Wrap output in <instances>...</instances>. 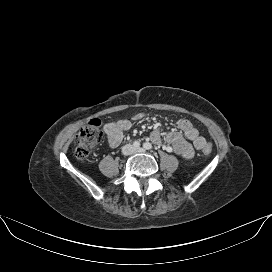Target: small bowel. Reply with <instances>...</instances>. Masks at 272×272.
<instances>
[{"label": "small bowel", "mask_w": 272, "mask_h": 272, "mask_svg": "<svg viewBox=\"0 0 272 272\" xmlns=\"http://www.w3.org/2000/svg\"><path fill=\"white\" fill-rule=\"evenodd\" d=\"M141 117L142 115H137L131 119H121L107 123L104 129L109 145L111 147L119 145L124 133L132 127L134 120ZM177 125L178 131L168 132L164 136L168 144L167 149L185 159H190L194 155V150L203 149L207 141L189 120L180 119ZM150 137L155 143H160L163 139V135L158 129L153 130Z\"/></svg>", "instance_id": "1"}]
</instances>
